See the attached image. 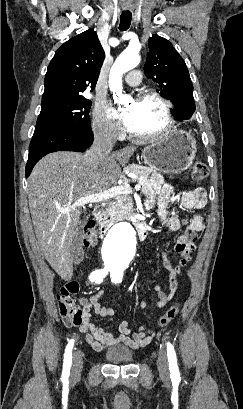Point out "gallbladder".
<instances>
[{
    "instance_id": "1",
    "label": "gallbladder",
    "mask_w": 243,
    "mask_h": 409,
    "mask_svg": "<svg viewBox=\"0 0 243 409\" xmlns=\"http://www.w3.org/2000/svg\"><path fill=\"white\" fill-rule=\"evenodd\" d=\"M83 254L82 239L80 235H77L71 247L73 262L76 264L80 263L83 260Z\"/></svg>"
}]
</instances>
